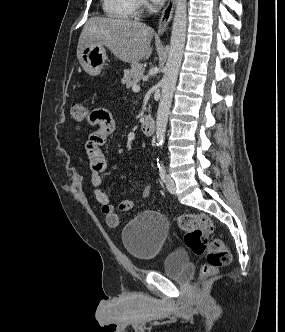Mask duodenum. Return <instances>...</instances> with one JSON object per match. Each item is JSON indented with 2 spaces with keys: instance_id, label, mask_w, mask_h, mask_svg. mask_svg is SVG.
<instances>
[{
  "instance_id": "1",
  "label": "duodenum",
  "mask_w": 285,
  "mask_h": 332,
  "mask_svg": "<svg viewBox=\"0 0 285 332\" xmlns=\"http://www.w3.org/2000/svg\"><path fill=\"white\" fill-rule=\"evenodd\" d=\"M142 131L146 136H152L155 133V122L150 116H145L142 120Z\"/></svg>"
}]
</instances>
